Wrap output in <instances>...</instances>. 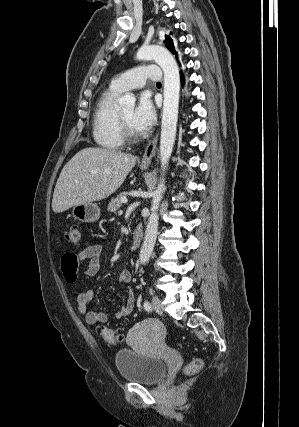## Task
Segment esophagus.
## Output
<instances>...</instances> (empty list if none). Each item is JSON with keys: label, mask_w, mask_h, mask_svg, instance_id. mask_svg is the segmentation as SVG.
<instances>
[{"label": "esophagus", "mask_w": 299, "mask_h": 427, "mask_svg": "<svg viewBox=\"0 0 299 427\" xmlns=\"http://www.w3.org/2000/svg\"><path fill=\"white\" fill-rule=\"evenodd\" d=\"M158 142V134L155 135V137L147 144L145 148V152L142 157L141 164L143 166H148L151 163L152 158L155 155L156 152V146Z\"/></svg>", "instance_id": "obj_1"}]
</instances>
